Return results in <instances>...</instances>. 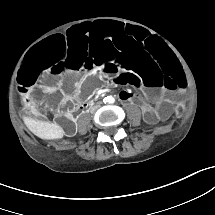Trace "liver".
Listing matches in <instances>:
<instances>
[{"label": "liver", "mask_w": 215, "mask_h": 215, "mask_svg": "<svg viewBox=\"0 0 215 215\" xmlns=\"http://www.w3.org/2000/svg\"><path fill=\"white\" fill-rule=\"evenodd\" d=\"M24 122L27 127L39 137L60 138L64 133L63 129L59 125L54 123L36 121L28 117L24 118Z\"/></svg>", "instance_id": "liver-1"}]
</instances>
